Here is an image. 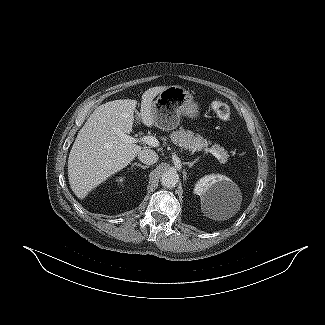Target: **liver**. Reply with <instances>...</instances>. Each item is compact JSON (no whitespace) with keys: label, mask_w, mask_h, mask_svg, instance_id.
<instances>
[{"label":"liver","mask_w":325,"mask_h":325,"mask_svg":"<svg viewBox=\"0 0 325 325\" xmlns=\"http://www.w3.org/2000/svg\"><path fill=\"white\" fill-rule=\"evenodd\" d=\"M166 86L152 87L142 95L140 119L154 125L153 99ZM136 100H114L98 106L80 129L68 158V179L74 194L83 199L100 183L125 168L142 147L126 143L120 134L133 128Z\"/></svg>","instance_id":"obj_1"}]
</instances>
